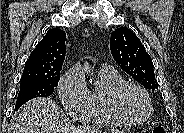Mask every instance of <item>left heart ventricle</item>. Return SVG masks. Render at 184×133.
Segmentation results:
<instances>
[{
    "instance_id": "b2bd125f",
    "label": "left heart ventricle",
    "mask_w": 184,
    "mask_h": 133,
    "mask_svg": "<svg viewBox=\"0 0 184 133\" xmlns=\"http://www.w3.org/2000/svg\"><path fill=\"white\" fill-rule=\"evenodd\" d=\"M122 112L131 119H141L147 112V103L136 89H128L121 97Z\"/></svg>"
}]
</instances>
